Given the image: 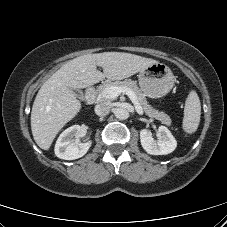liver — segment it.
Returning a JSON list of instances; mask_svg holds the SVG:
<instances>
[{"label":"liver","instance_id":"1","mask_svg":"<svg viewBox=\"0 0 227 227\" xmlns=\"http://www.w3.org/2000/svg\"><path fill=\"white\" fill-rule=\"evenodd\" d=\"M155 63L154 59L131 53L103 52L64 64L41 86L34 100L31 130L36 144L48 150L58 132L80 111L81 102L72 89L89 87L104 78L122 80Z\"/></svg>","mask_w":227,"mask_h":227}]
</instances>
